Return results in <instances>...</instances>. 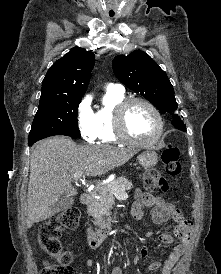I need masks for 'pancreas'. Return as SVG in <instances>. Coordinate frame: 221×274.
Instances as JSON below:
<instances>
[{
	"instance_id": "obj_1",
	"label": "pancreas",
	"mask_w": 221,
	"mask_h": 274,
	"mask_svg": "<svg viewBox=\"0 0 221 274\" xmlns=\"http://www.w3.org/2000/svg\"><path fill=\"white\" fill-rule=\"evenodd\" d=\"M114 187H118L122 192H125L131 190L133 185L132 182L125 177H119L105 186L97 187L92 192V195H96L99 198H91V203L88 205L87 212L94 218V224L96 226H105L109 224L115 197L113 191Z\"/></svg>"
}]
</instances>
